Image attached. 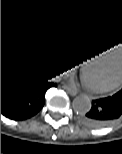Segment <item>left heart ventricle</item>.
<instances>
[{
	"instance_id": "b2bd125f",
	"label": "left heart ventricle",
	"mask_w": 122,
	"mask_h": 154,
	"mask_svg": "<svg viewBox=\"0 0 122 154\" xmlns=\"http://www.w3.org/2000/svg\"><path fill=\"white\" fill-rule=\"evenodd\" d=\"M110 64L106 62L94 67L85 78L90 79L94 77L90 83L92 85H105L117 80L122 75V69L106 71Z\"/></svg>"
}]
</instances>
